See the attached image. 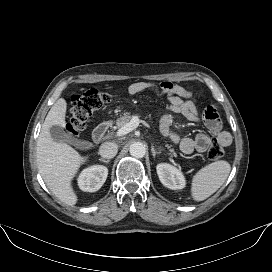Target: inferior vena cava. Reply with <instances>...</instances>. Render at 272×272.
<instances>
[{
    "mask_svg": "<svg viewBox=\"0 0 272 272\" xmlns=\"http://www.w3.org/2000/svg\"><path fill=\"white\" fill-rule=\"evenodd\" d=\"M118 146L113 142H105L100 146L99 154L106 159H111L116 156Z\"/></svg>",
    "mask_w": 272,
    "mask_h": 272,
    "instance_id": "inferior-vena-cava-1",
    "label": "inferior vena cava"
}]
</instances>
